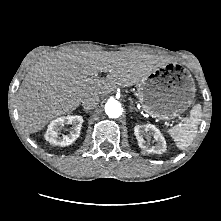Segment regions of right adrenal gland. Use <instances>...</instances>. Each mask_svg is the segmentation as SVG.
<instances>
[{
	"label": "right adrenal gland",
	"mask_w": 221,
	"mask_h": 221,
	"mask_svg": "<svg viewBox=\"0 0 221 221\" xmlns=\"http://www.w3.org/2000/svg\"><path fill=\"white\" fill-rule=\"evenodd\" d=\"M83 111L86 112V113L90 112V110H87L85 108L83 109Z\"/></svg>",
	"instance_id": "obj_1"
}]
</instances>
